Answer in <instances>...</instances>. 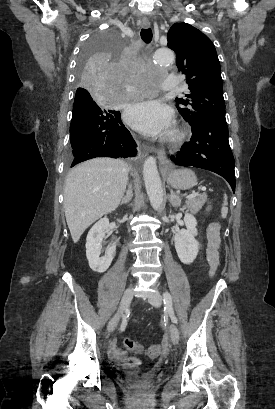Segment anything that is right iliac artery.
Here are the masks:
<instances>
[{"label":"right iliac artery","instance_id":"obj_1","mask_svg":"<svg viewBox=\"0 0 275 409\" xmlns=\"http://www.w3.org/2000/svg\"><path fill=\"white\" fill-rule=\"evenodd\" d=\"M126 325H127V321H126V319H125V316H123V320H122V324H121L120 330H121V331L125 330Z\"/></svg>","mask_w":275,"mask_h":409}]
</instances>
